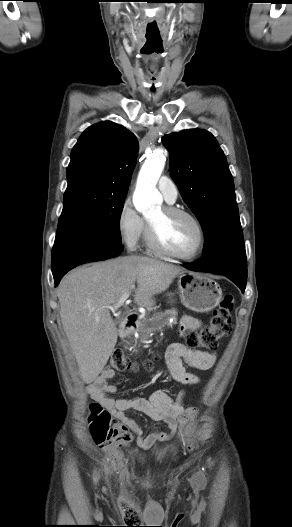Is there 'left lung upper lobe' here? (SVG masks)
I'll return each instance as SVG.
<instances>
[{
	"label": "left lung upper lobe",
	"mask_w": 292,
	"mask_h": 527,
	"mask_svg": "<svg viewBox=\"0 0 292 527\" xmlns=\"http://www.w3.org/2000/svg\"><path fill=\"white\" fill-rule=\"evenodd\" d=\"M170 152V174L205 234L203 256L243 249L234 182L214 136L190 129L162 137Z\"/></svg>",
	"instance_id": "5c2ea615"
}]
</instances>
